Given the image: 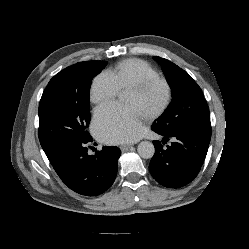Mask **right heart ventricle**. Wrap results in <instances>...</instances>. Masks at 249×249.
Segmentation results:
<instances>
[{
    "mask_svg": "<svg viewBox=\"0 0 249 249\" xmlns=\"http://www.w3.org/2000/svg\"><path fill=\"white\" fill-rule=\"evenodd\" d=\"M109 74L116 81L120 90H128V88L146 78L159 76L151 65L136 58L118 63Z\"/></svg>",
    "mask_w": 249,
    "mask_h": 249,
    "instance_id": "e07e8e85",
    "label": "right heart ventricle"
}]
</instances>
